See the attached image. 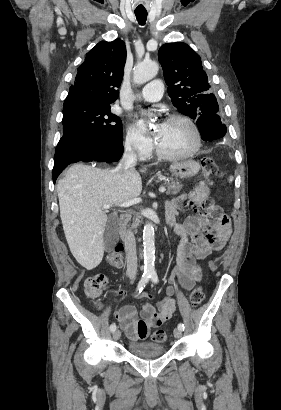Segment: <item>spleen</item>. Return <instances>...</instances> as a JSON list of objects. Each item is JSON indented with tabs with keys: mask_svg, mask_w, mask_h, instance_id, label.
Masks as SVG:
<instances>
[{
	"mask_svg": "<svg viewBox=\"0 0 281 410\" xmlns=\"http://www.w3.org/2000/svg\"><path fill=\"white\" fill-rule=\"evenodd\" d=\"M232 181H233V177L230 176V177H229V182H232Z\"/></svg>",
	"mask_w": 281,
	"mask_h": 410,
	"instance_id": "3e777b00",
	"label": "spleen"
}]
</instances>
